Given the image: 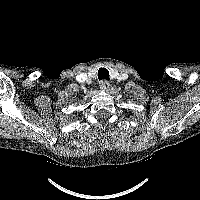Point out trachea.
Instances as JSON below:
<instances>
[{"instance_id": "obj_1", "label": "trachea", "mask_w": 200, "mask_h": 200, "mask_svg": "<svg viewBox=\"0 0 200 200\" xmlns=\"http://www.w3.org/2000/svg\"><path fill=\"white\" fill-rule=\"evenodd\" d=\"M99 80H109V71L106 68H100L98 70Z\"/></svg>"}]
</instances>
